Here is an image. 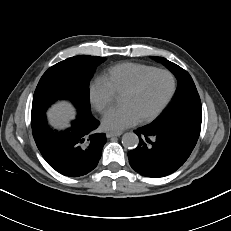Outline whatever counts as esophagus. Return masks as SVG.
<instances>
[{
    "mask_svg": "<svg viewBox=\"0 0 231 231\" xmlns=\"http://www.w3.org/2000/svg\"><path fill=\"white\" fill-rule=\"evenodd\" d=\"M120 135H122V132H107L106 133L107 138L118 137Z\"/></svg>",
    "mask_w": 231,
    "mask_h": 231,
    "instance_id": "1",
    "label": "esophagus"
}]
</instances>
